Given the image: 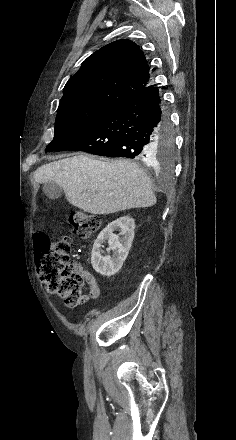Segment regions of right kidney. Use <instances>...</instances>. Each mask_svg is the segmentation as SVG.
Instances as JSON below:
<instances>
[{"label":"right kidney","instance_id":"obj_1","mask_svg":"<svg viewBox=\"0 0 236 440\" xmlns=\"http://www.w3.org/2000/svg\"><path fill=\"white\" fill-rule=\"evenodd\" d=\"M134 229V219L130 216H123L108 224L100 232L91 253V264L96 272L110 277L121 269L132 245ZM114 231L120 233L117 235L114 234ZM106 241L109 244L107 251H112V256L102 255V247Z\"/></svg>","mask_w":236,"mask_h":440}]
</instances>
